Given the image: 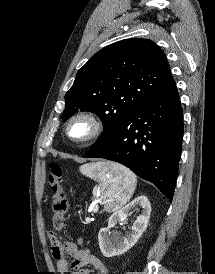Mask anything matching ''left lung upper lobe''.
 Masks as SVG:
<instances>
[{"instance_id":"left-lung-upper-lobe-1","label":"left lung upper lobe","mask_w":215,"mask_h":274,"mask_svg":"<svg viewBox=\"0 0 215 274\" xmlns=\"http://www.w3.org/2000/svg\"><path fill=\"white\" fill-rule=\"evenodd\" d=\"M172 80L166 56L154 42L148 39L116 42L93 55L78 71L65 95L63 120L78 109L96 113L104 126L98 144L128 114Z\"/></svg>"}]
</instances>
